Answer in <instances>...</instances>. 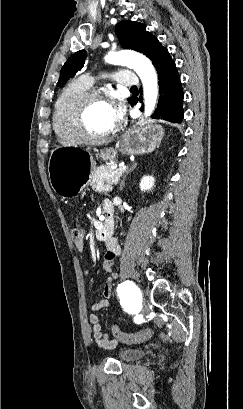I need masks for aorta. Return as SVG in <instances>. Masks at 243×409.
<instances>
[{"label":"aorta","mask_w":243,"mask_h":409,"mask_svg":"<svg viewBox=\"0 0 243 409\" xmlns=\"http://www.w3.org/2000/svg\"><path fill=\"white\" fill-rule=\"evenodd\" d=\"M105 61L113 65L128 66L138 74L143 84L144 114L150 116L158 96V79L151 61L144 55L131 51L110 52Z\"/></svg>","instance_id":"aorta-1"}]
</instances>
